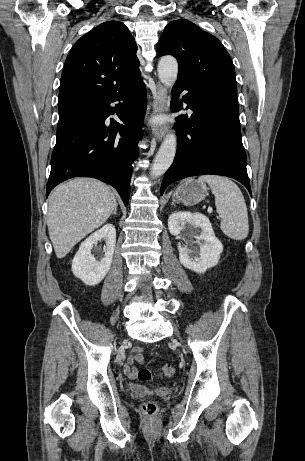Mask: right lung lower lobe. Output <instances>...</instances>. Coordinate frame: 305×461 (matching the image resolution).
<instances>
[{
  "instance_id": "obj_1",
  "label": "right lung lower lobe",
  "mask_w": 305,
  "mask_h": 461,
  "mask_svg": "<svg viewBox=\"0 0 305 461\" xmlns=\"http://www.w3.org/2000/svg\"><path fill=\"white\" fill-rule=\"evenodd\" d=\"M146 89L141 81L123 92L59 106L56 145L46 196L59 183L72 177H93L112 185L125 206L130 196L132 162L146 109ZM118 102L116 107L110 106ZM117 114L123 126L108 116Z\"/></svg>"
}]
</instances>
